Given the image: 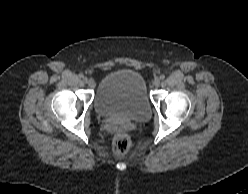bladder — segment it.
<instances>
[{
  "label": "bladder",
  "instance_id": "bladder-1",
  "mask_svg": "<svg viewBox=\"0 0 248 194\" xmlns=\"http://www.w3.org/2000/svg\"><path fill=\"white\" fill-rule=\"evenodd\" d=\"M94 107L102 116L147 119L151 113V101L145 78L129 69L106 74L97 85Z\"/></svg>",
  "mask_w": 248,
  "mask_h": 194
}]
</instances>
